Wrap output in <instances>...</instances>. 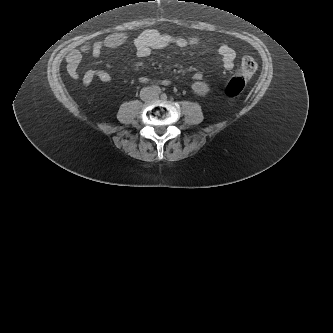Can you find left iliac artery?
I'll list each match as a JSON object with an SVG mask.
<instances>
[{
  "mask_svg": "<svg viewBox=\"0 0 333 333\" xmlns=\"http://www.w3.org/2000/svg\"><path fill=\"white\" fill-rule=\"evenodd\" d=\"M161 97H162V98H166V94L163 93V94L161 95Z\"/></svg>",
  "mask_w": 333,
  "mask_h": 333,
  "instance_id": "left-iliac-artery-1",
  "label": "left iliac artery"
}]
</instances>
